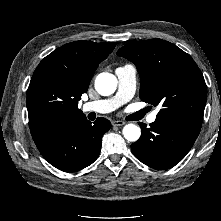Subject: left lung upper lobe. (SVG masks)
I'll return each instance as SVG.
<instances>
[{
  "instance_id": "left-lung-upper-lobe-1",
  "label": "left lung upper lobe",
  "mask_w": 221,
  "mask_h": 221,
  "mask_svg": "<svg viewBox=\"0 0 221 221\" xmlns=\"http://www.w3.org/2000/svg\"><path fill=\"white\" fill-rule=\"evenodd\" d=\"M117 54L136 65L140 75V98L161 106L158 119L202 125L207 87L189 54L162 39L133 42L123 46Z\"/></svg>"
}]
</instances>
